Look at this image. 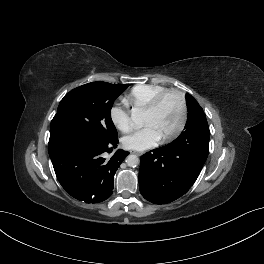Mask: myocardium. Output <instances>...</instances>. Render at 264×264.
I'll use <instances>...</instances> for the list:
<instances>
[{
	"label": "myocardium",
	"instance_id": "myocardium-1",
	"mask_svg": "<svg viewBox=\"0 0 264 264\" xmlns=\"http://www.w3.org/2000/svg\"><path fill=\"white\" fill-rule=\"evenodd\" d=\"M171 94L176 95L179 99L181 117L177 127L172 132L161 138L163 142H168L176 138L183 131L186 125L187 116H188V107H187V101L185 95L183 94V92H181L178 89H167L159 93L157 96H155L153 100L144 109L145 112L155 111L163 102V100Z\"/></svg>",
	"mask_w": 264,
	"mask_h": 264
}]
</instances>
